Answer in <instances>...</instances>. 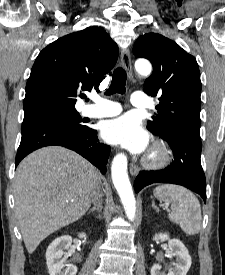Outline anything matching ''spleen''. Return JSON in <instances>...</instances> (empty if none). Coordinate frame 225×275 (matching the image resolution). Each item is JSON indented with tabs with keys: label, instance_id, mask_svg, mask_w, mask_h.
Returning <instances> with one entry per match:
<instances>
[{
	"label": "spleen",
	"instance_id": "3e777b00",
	"mask_svg": "<svg viewBox=\"0 0 225 275\" xmlns=\"http://www.w3.org/2000/svg\"><path fill=\"white\" fill-rule=\"evenodd\" d=\"M154 196L171 205L169 219L178 224L188 235L198 234L201 228V206L195 195L188 189L164 184L155 188Z\"/></svg>",
	"mask_w": 225,
	"mask_h": 275
}]
</instances>
